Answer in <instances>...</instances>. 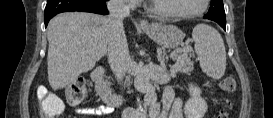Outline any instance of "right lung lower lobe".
<instances>
[{
  "label": "right lung lower lobe",
  "instance_id": "1",
  "mask_svg": "<svg viewBox=\"0 0 273 118\" xmlns=\"http://www.w3.org/2000/svg\"><path fill=\"white\" fill-rule=\"evenodd\" d=\"M68 11L91 12L102 15L109 13L105 0H47L44 12L45 27L53 16Z\"/></svg>",
  "mask_w": 273,
  "mask_h": 118
}]
</instances>
